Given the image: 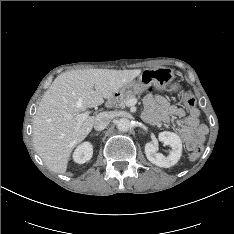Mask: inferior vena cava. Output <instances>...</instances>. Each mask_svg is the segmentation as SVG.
Instances as JSON below:
<instances>
[{"label":"inferior vena cava","mask_w":234,"mask_h":234,"mask_svg":"<svg viewBox=\"0 0 234 234\" xmlns=\"http://www.w3.org/2000/svg\"><path fill=\"white\" fill-rule=\"evenodd\" d=\"M111 121V115L107 112L99 113L95 117L94 128L96 131L104 130Z\"/></svg>","instance_id":"602c4592"}]
</instances>
